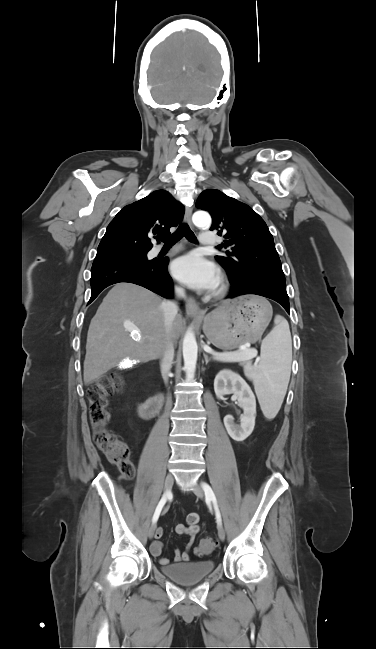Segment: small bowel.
I'll return each instance as SVG.
<instances>
[{"label":"small bowel","mask_w":376,"mask_h":649,"mask_svg":"<svg viewBox=\"0 0 376 649\" xmlns=\"http://www.w3.org/2000/svg\"><path fill=\"white\" fill-rule=\"evenodd\" d=\"M194 516H196L197 519L195 521H191V518ZM175 532L179 535L188 536L189 540L187 542L186 549L184 551L175 550L174 561L176 562L189 561L190 560L189 550L194 544L196 535L200 532L199 515L195 512L188 514L186 517V523L177 524L175 526ZM162 536H163V529L157 528L154 534L155 539L150 545L151 553L157 557L160 556L163 549V543L161 541ZM159 562L162 565H166L170 562V560L168 558L162 557L159 559Z\"/></svg>","instance_id":"c3829d8e"}]
</instances>
